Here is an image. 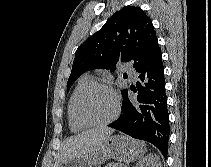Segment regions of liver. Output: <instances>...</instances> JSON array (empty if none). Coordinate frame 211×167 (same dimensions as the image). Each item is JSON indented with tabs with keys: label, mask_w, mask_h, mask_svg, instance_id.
Segmentation results:
<instances>
[{
	"label": "liver",
	"mask_w": 211,
	"mask_h": 167,
	"mask_svg": "<svg viewBox=\"0 0 211 167\" xmlns=\"http://www.w3.org/2000/svg\"><path fill=\"white\" fill-rule=\"evenodd\" d=\"M113 132L108 127H97L66 139L57 154L54 167H60L77 156L100 148Z\"/></svg>",
	"instance_id": "6515ba94"
}]
</instances>
